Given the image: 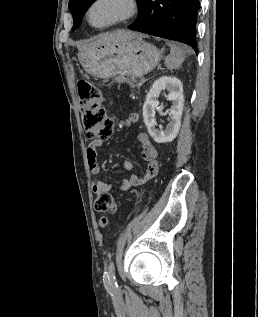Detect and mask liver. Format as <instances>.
I'll return each mask as SVG.
<instances>
[{"label":"liver","mask_w":258,"mask_h":317,"mask_svg":"<svg viewBox=\"0 0 258 317\" xmlns=\"http://www.w3.org/2000/svg\"><path fill=\"white\" fill-rule=\"evenodd\" d=\"M135 32H130V30H116V32H105V34H99L95 38H89L91 42H81L80 46H100V44H109V42H125V40H132L134 38Z\"/></svg>","instance_id":"6515ba94"}]
</instances>
